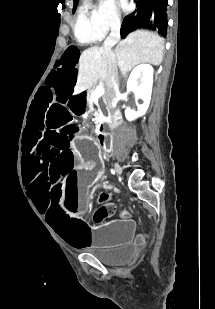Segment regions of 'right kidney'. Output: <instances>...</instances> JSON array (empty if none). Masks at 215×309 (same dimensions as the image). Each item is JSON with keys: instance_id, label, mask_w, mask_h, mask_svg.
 Masks as SVG:
<instances>
[{"instance_id": "right-kidney-1", "label": "right kidney", "mask_w": 215, "mask_h": 309, "mask_svg": "<svg viewBox=\"0 0 215 309\" xmlns=\"http://www.w3.org/2000/svg\"><path fill=\"white\" fill-rule=\"evenodd\" d=\"M153 72L154 68L151 64H138L133 68L127 80V90L134 92L138 110L136 112L132 108H126L125 116L127 120H134V118L145 114L151 100ZM138 78H140V84L137 82ZM138 98H142L143 104H138Z\"/></svg>"}]
</instances>
